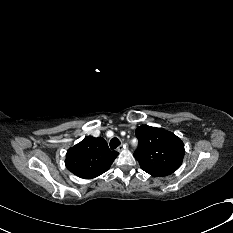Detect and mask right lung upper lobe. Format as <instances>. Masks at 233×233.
Instances as JSON below:
<instances>
[{"label":"right lung upper lobe","instance_id":"right-lung-upper-lobe-1","mask_svg":"<svg viewBox=\"0 0 233 233\" xmlns=\"http://www.w3.org/2000/svg\"><path fill=\"white\" fill-rule=\"evenodd\" d=\"M118 154L102 137L87 136L67 151L65 164L76 176L92 179L106 172Z\"/></svg>","mask_w":233,"mask_h":233}]
</instances>
